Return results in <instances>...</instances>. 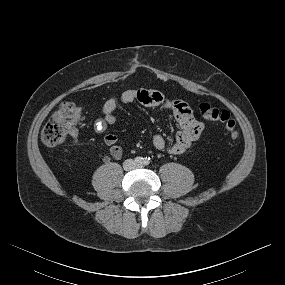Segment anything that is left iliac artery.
Here are the masks:
<instances>
[{
    "mask_svg": "<svg viewBox=\"0 0 285 285\" xmlns=\"http://www.w3.org/2000/svg\"><path fill=\"white\" fill-rule=\"evenodd\" d=\"M149 163H150V158L149 157L144 158L143 164L148 165Z\"/></svg>",
    "mask_w": 285,
    "mask_h": 285,
    "instance_id": "1",
    "label": "left iliac artery"
}]
</instances>
